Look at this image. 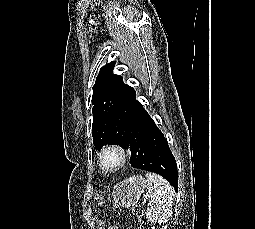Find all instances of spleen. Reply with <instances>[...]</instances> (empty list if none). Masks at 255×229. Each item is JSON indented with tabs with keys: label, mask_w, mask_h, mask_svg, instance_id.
<instances>
[{
	"label": "spleen",
	"mask_w": 255,
	"mask_h": 229,
	"mask_svg": "<svg viewBox=\"0 0 255 229\" xmlns=\"http://www.w3.org/2000/svg\"><path fill=\"white\" fill-rule=\"evenodd\" d=\"M146 179L149 197L151 198L146 216L150 221L162 223L172 213L174 189L166 179L158 174L148 172Z\"/></svg>",
	"instance_id": "1"
}]
</instances>
